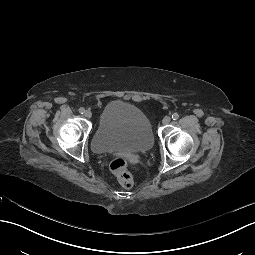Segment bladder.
Wrapping results in <instances>:
<instances>
[{
  "label": "bladder",
  "instance_id": "bladder-1",
  "mask_svg": "<svg viewBox=\"0 0 255 255\" xmlns=\"http://www.w3.org/2000/svg\"><path fill=\"white\" fill-rule=\"evenodd\" d=\"M153 143L147 116L136 106L122 101H112L105 106L91 138V147L95 153L148 151Z\"/></svg>",
  "mask_w": 255,
  "mask_h": 255
}]
</instances>
